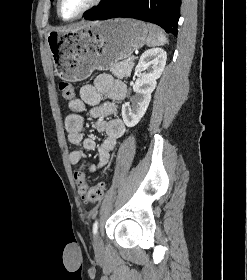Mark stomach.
<instances>
[{
	"instance_id": "obj_1",
	"label": "stomach",
	"mask_w": 247,
	"mask_h": 280,
	"mask_svg": "<svg viewBox=\"0 0 247 280\" xmlns=\"http://www.w3.org/2000/svg\"><path fill=\"white\" fill-rule=\"evenodd\" d=\"M148 34L147 25L135 19L91 22L67 31L47 35L57 75L66 81L88 78L94 70L112 69L140 49Z\"/></svg>"
}]
</instances>
